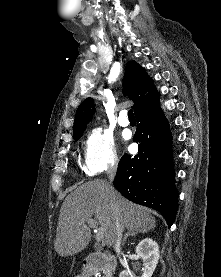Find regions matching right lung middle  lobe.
Wrapping results in <instances>:
<instances>
[{"mask_svg": "<svg viewBox=\"0 0 221 277\" xmlns=\"http://www.w3.org/2000/svg\"><path fill=\"white\" fill-rule=\"evenodd\" d=\"M83 132H84V130H83V131H80V132H78V133L73 134V138H74L75 140H79L80 137L82 136V133H83Z\"/></svg>", "mask_w": 221, "mask_h": 277, "instance_id": "obj_1", "label": "right lung middle lobe"}]
</instances>
